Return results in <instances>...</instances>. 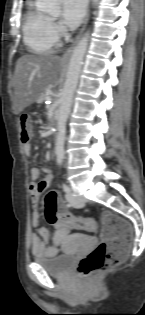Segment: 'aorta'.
<instances>
[{"mask_svg": "<svg viewBox=\"0 0 145 315\" xmlns=\"http://www.w3.org/2000/svg\"><path fill=\"white\" fill-rule=\"evenodd\" d=\"M97 1L98 0H92L93 4L97 3ZM41 10L49 14H58L60 12L59 0H42ZM88 39L89 31L84 34L74 47L69 61L64 87L61 92L55 143L56 161L59 166L62 165L64 160L66 123L71 110L73 95L78 84L83 59L87 50Z\"/></svg>", "mask_w": 145, "mask_h": 315, "instance_id": "1", "label": "aorta"}]
</instances>
